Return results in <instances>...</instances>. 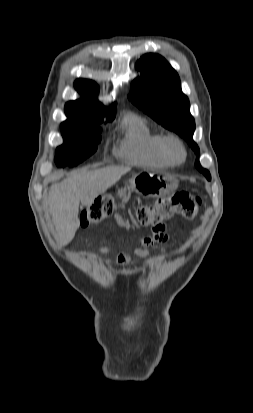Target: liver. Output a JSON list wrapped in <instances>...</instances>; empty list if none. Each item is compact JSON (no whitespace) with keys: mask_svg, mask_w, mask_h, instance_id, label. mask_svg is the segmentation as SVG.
Returning <instances> with one entry per match:
<instances>
[{"mask_svg":"<svg viewBox=\"0 0 253 413\" xmlns=\"http://www.w3.org/2000/svg\"><path fill=\"white\" fill-rule=\"evenodd\" d=\"M130 167L109 166L97 170H80L60 183L51 186L48 195L49 211L55 226V239L67 245L80 226L79 204L88 206L99 195L118 182Z\"/></svg>","mask_w":253,"mask_h":413,"instance_id":"liver-1","label":"liver"}]
</instances>
